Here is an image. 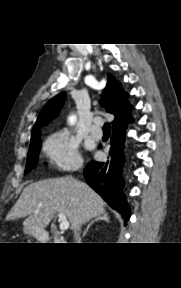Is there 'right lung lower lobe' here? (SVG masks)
Masks as SVG:
<instances>
[{
	"label": "right lung lower lobe",
	"mask_w": 181,
	"mask_h": 288,
	"mask_svg": "<svg viewBox=\"0 0 181 288\" xmlns=\"http://www.w3.org/2000/svg\"><path fill=\"white\" fill-rule=\"evenodd\" d=\"M126 128L127 126L112 128L110 157L107 162H91L84 169L87 183L119 212L125 221L131 216L127 198L123 194L125 182L121 178Z\"/></svg>",
	"instance_id": "right-lung-lower-lobe-1"
}]
</instances>
